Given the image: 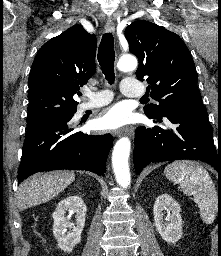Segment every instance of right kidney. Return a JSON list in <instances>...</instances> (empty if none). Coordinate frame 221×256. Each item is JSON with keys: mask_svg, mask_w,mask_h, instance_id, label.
I'll return each mask as SVG.
<instances>
[{"mask_svg": "<svg viewBox=\"0 0 221 256\" xmlns=\"http://www.w3.org/2000/svg\"><path fill=\"white\" fill-rule=\"evenodd\" d=\"M66 211L69 213L68 217L74 213L76 214L75 224L66 219ZM86 212V205L82 198L77 195H71L61 200L53 212V234L58 242V247L64 252H72L75 245L80 243L81 232L85 226ZM67 228L70 231H67Z\"/></svg>", "mask_w": 221, "mask_h": 256, "instance_id": "obj_1", "label": "right kidney"}]
</instances>
